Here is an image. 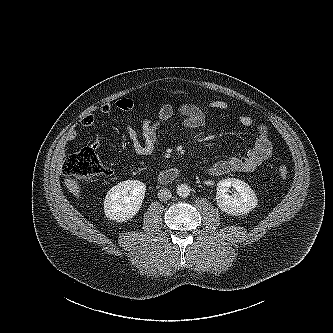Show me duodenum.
Wrapping results in <instances>:
<instances>
[{
  "label": "duodenum",
  "mask_w": 333,
  "mask_h": 333,
  "mask_svg": "<svg viewBox=\"0 0 333 333\" xmlns=\"http://www.w3.org/2000/svg\"><path fill=\"white\" fill-rule=\"evenodd\" d=\"M180 175V170L177 168H169L162 172H160L158 176V180L161 183H170L174 181L176 178H178Z\"/></svg>",
  "instance_id": "duodenum-1"
}]
</instances>
